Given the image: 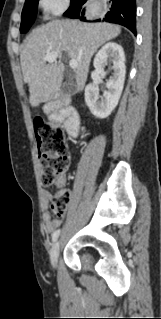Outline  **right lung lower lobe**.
Returning <instances> with one entry per match:
<instances>
[{"label": "right lung lower lobe", "mask_w": 161, "mask_h": 319, "mask_svg": "<svg viewBox=\"0 0 161 319\" xmlns=\"http://www.w3.org/2000/svg\"><path fill=\"white\" fill-rule=\"evenodd\" d=\"M87 0H78L75 2L64 15L70 18L85 20L84 3ZM109 11L103 18V21L117 23L130 29L136 34V4L135 0H109ZM97 21H101L100 19Z\"/></svg>", "instance_id": "98d812e1"}]
</instances>
